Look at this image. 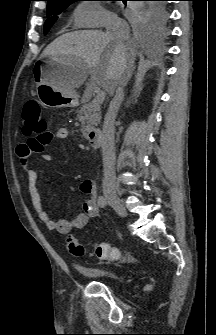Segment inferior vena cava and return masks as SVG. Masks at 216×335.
Returning <instances> with one entry per match:
<instances>
[{"mask_svg":"<svg viewBox=\"0 0 216 335\" xmlns=\"http://www.w3.org/2000/svg\"><path fill=\"white\" fill-rule=\"evenodd\" d=\"M106 34L118 43L129 40V25L117 15H110L105 23ZM132 74V62L126 63L122 60L117 72V86L115 95L109 105L108 111L104 118L101 147L103 156V189L115 190V127L114 122L117 112L124 97V87Z\"/></svg>","mask_w":216,"mask_h":335,"instance_id":"1","label":"inferior vena cava"}]
</instances>
